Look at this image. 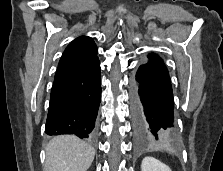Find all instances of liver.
Segmentation results:
<instances>
[{
  "mask_svg": "<svg viewBox=\"0 0 223 171\" xmlns=\"http://www.w3.org/2000/svg\"><path fill=\"white\" fill-rule=\"evenodd\" d=\"M94 156V148L75 136H57L46 146L44 171H87Z\"/></svg>",
  "mask_w": 223,
  "mask_h": 171,
  "instance_id": "1",
  "label": "liver"
}]
</instances>
